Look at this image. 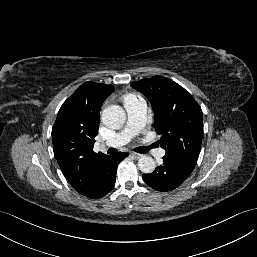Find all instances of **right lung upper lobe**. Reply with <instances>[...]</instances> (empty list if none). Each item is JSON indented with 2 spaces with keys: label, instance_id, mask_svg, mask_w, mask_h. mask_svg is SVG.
I'll return each instance as SVG.
<instances>
[{
  "label": "right lung upper lobe",
  "instance_id": "1",
  "mask_svg": "<svg viewBox=\"0 0 257 257\" xmlns=\"http://www.w3.org/2000/svg\"><path fill=\"white\" fill-rule=\"evenodd\" d=\"M114 90L112 85L85 82L63 103L52 128L55 158L79 193L90 186L100 162L107 156L95 153L93 146L101 106Z\"/></svg>",
  "mask_w": 257,
  "mask_h": 257
}]
</instances>
